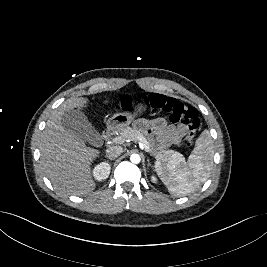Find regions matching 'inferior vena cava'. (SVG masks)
<instances>
[{
    "label": "inferior vena cava",
    "instance_id": "inferior-vena-cava-1",
    "mask_svg": "<svg viewBox=\"0 0 267 267\" xmlns=\"http://www.w3.org/2000/svg\"><path fill=\"white\" fill-rule=\"evenodd\" d=\"M123 148L121 146H110L106 149V155L109 159H115L121 155Z\"/></svg>",
    "mask_w": 267,
    "mask_h": 267
}]
</instances>
